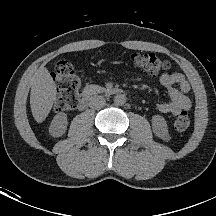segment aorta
<instances>
[{
  "mask_svg": "<svg viewBox=\"0 0 216 216\" xmlns=\"http://www.w3.org/2000/svg\"><path fill=\"white\" fill-rule=\"evenodd\" d=\"M126 102V96L123 94H117L114 96V103L116 105H124Z\"/></svg>",
  "mask_w": 216,
  "mask_h": 216,
  "instance_id": "1",
  "label": "aorta"
}]
</instances>
